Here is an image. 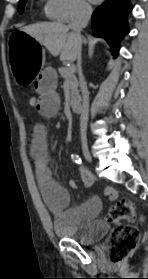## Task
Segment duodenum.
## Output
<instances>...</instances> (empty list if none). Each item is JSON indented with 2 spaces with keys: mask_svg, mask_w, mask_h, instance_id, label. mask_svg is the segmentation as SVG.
<instances>
[{
  "mask_svg": "<svg viewBox=\"0 0 148 279\" xmlns=\"http://www.w3.org/2000/svg\"><path fill=\"white\" fill-rule=\"evenodd\" d=\"M71 109L74 113H80L82 111V103L80 101H73L71 103Z\"/></svg>",
  "mask_w": 148,
  "mask_h": 279,
  "instance_id": "410a0bca",
  "label": "duodenum"
}]
</instances>
